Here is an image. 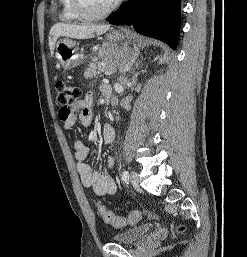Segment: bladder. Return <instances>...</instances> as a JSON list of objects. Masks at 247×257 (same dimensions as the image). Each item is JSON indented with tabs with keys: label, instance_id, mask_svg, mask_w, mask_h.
I'll return each instance as SVG.
<instances>
[{
	"label": "bladder",
	"instance_id": "31cf9c89",
	"mask_svg": "<svg viewBox=\"0 0 247 257\" xmlns=\"http://www.w3.org/2000/svg\"><path fill=\"white\" fill-rule=\"evenodd\" d=\"M152 230L149 224H142L112 236V241L123 245H132L143 240Z\"/></svg>",
	"mask_w": 247,
	"mask_h": 257
}]
</instances>
